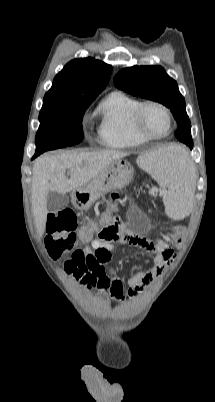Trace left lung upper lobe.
<instances>
[{"mask_svg": "<svg viewBox=\"0 0 215 402\" xmlns=\"http://www.w3.org/2000/svg\"><path fill=\"white\" fill-rule=\"evenodd\" d=\"M114 84L127 93L170 108L178 125L175 136L192 149L191 123L186 113L185 100L177 82L162 67L133 66L122 69L114 77Z\"/></svg>", "mask_w": 215, "mask_h": 402, "instance_id": "1", "label": "left lung upper lobe"}]
</instances>
